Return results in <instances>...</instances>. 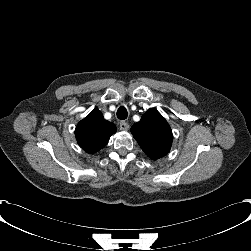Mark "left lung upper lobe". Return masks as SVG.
<instances>
[{"mask_svg": "<svg viewBox=\"0 0 251 251\" xmlns=\"http://www.w3.org/2000/svg\"><path fill=\"white\" fill-rule=\"evenodd\" d=\"M131 133L145 154L152 160L165 156L171 148L173 135L167 121L156 109H149L131 127Z\"/></svg>", "mask_w": 251, "mask_h": 251, "instance_id": "1", "label": "left lung upper lobe"}]
</instances>
